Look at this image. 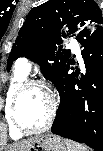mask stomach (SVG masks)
Here are the masks:
<instances>
[{"mask_svg":"<svg viewBox=\"0 0 103 151\" xmlns=\"http://www.w3.org/2000/svg\"><path fill=\"white\" fill-rule=\"evenodd\" d=\"M26 151H66V146L60 137L47 134L37 137Z\"/></svg>","mask_w":103,"mask_h":151,"instance_id":"stomach-1","label":"stomach"}]
</instances>
